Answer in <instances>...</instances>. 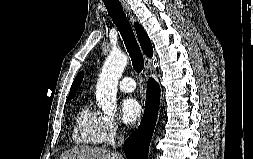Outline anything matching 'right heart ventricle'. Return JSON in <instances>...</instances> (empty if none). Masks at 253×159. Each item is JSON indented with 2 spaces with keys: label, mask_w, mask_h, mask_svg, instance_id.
<instances>
[{
  "label": "right heart ventricle",
  "mask_w": 253,
  "mask_h": 159,
  "mask_svg": "<svg viewBox=\"0 0 253 159\" xmlns=\"http://www.w3.org/2000/svg\"><path fill=\"white\" fill-rule=\"evenodd\" d=\"M72 140L81 146H97L103 142L102 114L83 104L72 123Z\"/></svg>",
  "instance_id": "right-heart-ventricle-1"
}]
</instances>
